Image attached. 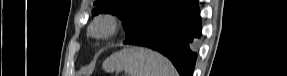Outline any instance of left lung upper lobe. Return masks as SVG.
Masks as SVG:
<instances>
[{
	"label": "left lung upper lobe",
	"instance_id": "5c2ea615",
	"mask_svg": "<svg viewBox=\"0 0 287 76\" xmlns=\"http://www.w3.org/2000/svg\"><path fill=\"white\" fill-rule=\"evenodd\" d=\"M185 0H99L93 15L111 13L123 20L126 41L129 43L163 15L179 8Z\"/></svg>",
	"mask_w": 287,
	"mask_h": 76
}]
</instances>
